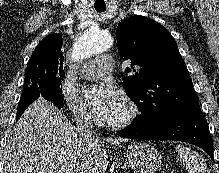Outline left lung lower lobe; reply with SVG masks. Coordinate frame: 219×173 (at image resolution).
<instances>
[{
  "instance_id": "0a47b994",
  "label": "left lung lower lobe",
  "mask_w": 219,
  "mask_h": 173,
  "mask_svg": "<svg viewBox=\"0 0 219 173\" xmlns=\"http://www.w3.org/2000/svg\"><path fill=\"white\" fill-rule=\"evenodd\" d=\"M118 135L131 139L188 142L204 149L214 160L212 137L199 105L179 109L152 125L133 122Z\"/></svg>"
}]
</instances>
